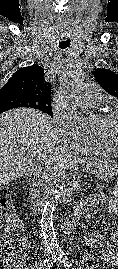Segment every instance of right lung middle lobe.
<instances>
[{"label": "right lung middle lobe", "instance_id": "obj_1", "mask_svg": "<svg viewBox=\"0 0 118 269\" xmlns=\"http://www.w3.org/2000/svg\"><path fill=\"white\" fill-rule=\"evenodd\" d=\"M17 107H31L43 111L53 117L50 104L39 103L27 96L21 94H5L0 97V114L6 110Z\"/></svg>", "mask_w": 118, "mask_h": 269}]
</instances>
